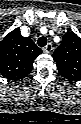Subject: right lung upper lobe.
Returning <instances> with one entry per match:
<instances>
[{
  "mask_svg": "<svg viewBox=\"0 0 81 124\" xmlns=\"http://www.w3.org/2000/svg\"><path fill=\"white\" fill-rule=\"evenodd\" d=\"M41 52L30 38L21 35L19 28L14 29L0 42V74L12 81L25 78Z\"/></svg>",
  "mask_w": 81,
  "mask_h": 124,
  "instance_id": "obj_1",
  "label": "right lung upper lobe"
}]
</instances>
